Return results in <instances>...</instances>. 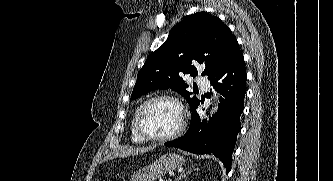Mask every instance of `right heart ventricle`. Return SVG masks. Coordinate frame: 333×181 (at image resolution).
<instances>
[{
  "label": "right heart ventricle",
  "instance_id": "obj_1",
  "mask_svg": "<svg viewBox=\"0 0 333 181\" xmlns=\"http://www.w3.org/2000/svg\"><path fill=\"white\" fill-rule=\"evenodd\" d=\"M137 111H138V108L137 110L135 111L134 115H133V118H132V121H131V139L133 142L135 143H143L145 142V139H143L136 131L135 129V117H136V114H137Z\"/></svg>",
  "mask_w": 333,
  "mask_h": 181
}]
</instances>
